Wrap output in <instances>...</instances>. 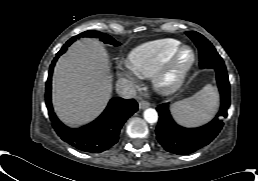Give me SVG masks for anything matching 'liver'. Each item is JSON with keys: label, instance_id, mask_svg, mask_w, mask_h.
<instances>
[{"label": "liver", "instance_id": "1", "mask_svg": "<svg viewBox=\"0 0 258 181\" xmlns=\"http://www.w3.org/2000/svg\"><path fill=\"white\" fill-rule=\"evenodd\" d=\"M111 81L104 47L90 38L76 41L54 68L52 102L56 114L69 126L92 121L111 97Z\"/></svg>", "mask_w": 258, "mask_h": 181}]
</instances>
